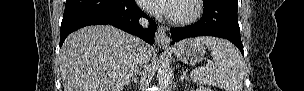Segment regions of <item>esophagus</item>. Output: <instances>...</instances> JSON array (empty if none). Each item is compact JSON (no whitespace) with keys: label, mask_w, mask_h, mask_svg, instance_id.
Listing matches in <instances>:
<instances>
[{"label":"esophagus","mask_w":304,"mask_h":91,"mask_svg":"<svg viewBox=\"0 0 304 91\" xmlns=\"http://www.w3.org/2000/svg\"><path fill=\"white\" fill-rule=\"evenodd\" d=\"M155 41L159 46H169L170 38L168 37L167 29L165 27L158 25Z\"/></svg>","instance_id":"esophagus-1"}]
</instances>
